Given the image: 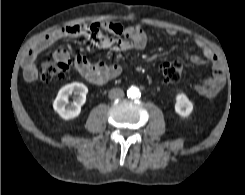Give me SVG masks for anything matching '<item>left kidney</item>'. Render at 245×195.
Segmentation results:
<instances>
[{
	"label": "left kidney",
	"mask_w": 245,
	"mask_h": 195,
	"mask_svg": "<svg viewBox=\"0 0 245 195\" xmlns=\"http://www.w3.org/2000/svg\"><path fill=\"white\" fill-rule=\"evenodd\" d=\"M193 111V104L184 93L176 95L175 112L181 117H188Z\"/></svg>",
	"instance_id": "obj_1"
}]
</instances>
